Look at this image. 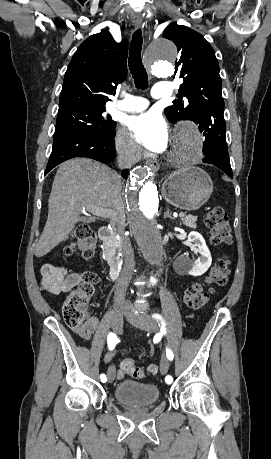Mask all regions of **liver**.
<instances>
[{
    "label": "liver",
    "mask_w": 271,
    "mask_h": 459,
    "mask_svg": "<svg viewBox=\"0 0 271 459\" xmlns=\"http://www.w3.org/2000/svg\"><path fill=\"white\" fill-rule=\"evenodd\" d=\"M120 184L116 174L108 166L89 160L73 158L60 164L48 200V218L35 255L41 257L63 241L79 222L82 210L112 208L116 186Z\"/></svg>",
    "instance_id": "1"
}]
</instances>
